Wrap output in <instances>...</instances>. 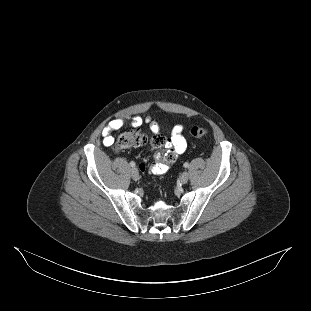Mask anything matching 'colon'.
I'll list each match as a JSON object with an SVG mask.
<instances>
[{
    "instance_id": "1",
    "label": "colon",
    "mask_w": 311,
    "mask_h": 311,
    "mask_svg": "<svg viewBox=\"0 0 311 311\" xmlns=\"http://www.w3.org/2000/svg\"><path fill=\"white\" fill-rule=\"evenodd\" d=\"M191 134L197 139H205L209 135V131L205 127L194 126L191 128ZM148 141L147 135L141 129H132L126 131L118 136L115 141L114 149L116 151H123L131 147H137L146 144ZM153 142L159 145H164V140L161 137H156L153 139ZM140 169L144 171L145 166L140 165ZM162 169L159 168V171Z\"/></svg>"
}]
</instances>
